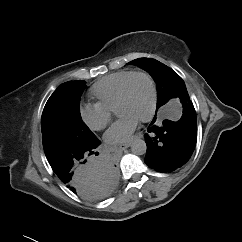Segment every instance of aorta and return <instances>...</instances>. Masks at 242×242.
<instances>
[{
  "label": "aorta",
  "instance_id": "aorta-1",
  "mask_svg": "<svg viewBox=\"0 0 242 242\" xmlns=\"http://www.w3.org/2000/svg\"><path fill=\"white\" fill-rule=\"evenodd\" d=\"M131 151L135 155H144L147 151L146 142L142 139H136L131 144Z\"/></svg>",
  "mask_w": 242,
  "mask_h": 242
}]
</instances>
